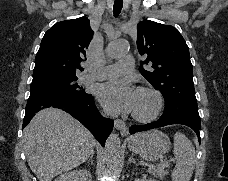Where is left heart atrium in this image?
I'll return each instance as SVG.
<instances>
[{"mask_svg": "<svg viewBox=\"0 0 228 181\" xmlns=\"http://www.w3.org/2000/svg\"><path fill=\"white\" fill-rule=\"evenodd\" d=\"M99 97L116 112H129L135 107L133 89L124 81L113 80L100 87Z\"/></svg>", "mask_w": 228, "mask_h": 181, "instance_id": "obj_1", "label": "left heart atrium"}]
</instances>
